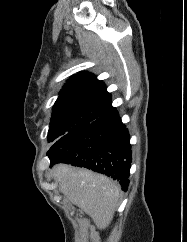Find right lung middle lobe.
<instances>
[{"label": "right lung middle lobe", "mask_w": 187, "mask_h": 242, "mask_svg": "<svg viewBox=\"0 0 187 242\" xmlns=\"http://www.w3.org/2000/svg\"><path fill=\"white\" fill-rule=\"evenodd\" d=\"M104 111V108L87 105L54 108L48 131V142L57 141L65 134L94 121Z\"/></svg>", "instance_id": "obj_1"}]
</instances>
